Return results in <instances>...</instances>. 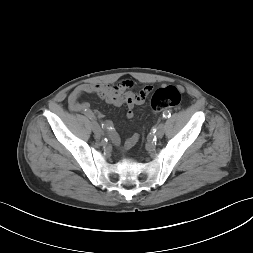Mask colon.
Instances as JSON below:
<instances>
[{"instance_id":"obj_1","label":"colon","mask_w":253,"mask_h":253,"mask_svg":"<svg viewBox=\"0 0 253 253\" xmlns=\"http://www.w3.org/2000/svg\"><path fill=\"white\" fill-rule=\"evenodd\" d=\"M181 93L175 86H167L157 89L151 99V106L155 112L175 108L180 104Z\"/></svg>"}]
</instances>
